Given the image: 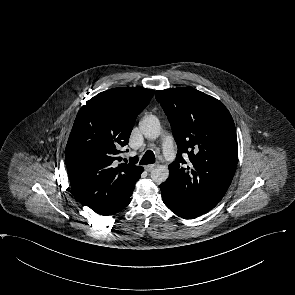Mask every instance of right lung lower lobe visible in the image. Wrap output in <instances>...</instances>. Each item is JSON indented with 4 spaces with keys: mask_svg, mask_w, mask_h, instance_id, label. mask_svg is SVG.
Returning <instances> with one entry per match:
<instances>
[{
    "mask_svg": "<svg viewBox=\"0 0 295 295\" xmlns=\"http://www.w3.org/2000/svg\"><path fill=\"white\" fill-rule=\"evenodd\" d=\"M142 172H143V170L139 173L136 181L140 178V175H141ZM136 181H135V183H136ZM134 187H135V184L132 187V189H130L128 191V193L123 197L122 201L120 202V204L117 207H115V208H113V209H111V210H109V211H107V212H105V213H103L101 215H113V214L121 211L122 209H124L130 202V196L132 195Z\"/></svg>",
    "mask_w": 295,
    "mask_h": 295,
    "instance_id": "98d812e1",
    "label": "right lung lower lobe"
}]
</instances>
